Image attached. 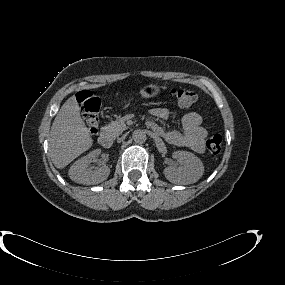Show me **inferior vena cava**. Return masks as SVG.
I'll use <instances>...</instances> for the list:
<instances>
[{"instance_id":"1","label":"inferior vena cava","mask_w":285,"mask_h":285,"mask_svg":"<svg viewBox=\"0 0 285 285\" xmlns=\"http://www.w3.org/2000/svg\"><path fill=\"white\" fill-rule=\"evenodd\" d=\"M117 144L118 145H123L124 144V139L123 138H118L117 139Z\"/></svg>"}]
</instances>
